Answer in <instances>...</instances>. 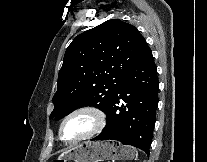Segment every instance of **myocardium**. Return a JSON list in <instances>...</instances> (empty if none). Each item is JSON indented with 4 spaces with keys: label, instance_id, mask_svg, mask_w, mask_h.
<instances>
[{
    "label": "myocardium",
    "instance_id": "myocardium-1",
    "mask_svg": "<svg viewBox=\"0 0 207 162\" xmlns=\"http://www.w3.org/2000/svg\"><path fill=\"white\" fill-rule=\"evenodd\" d=\"M82 113H89L93 116L94 118L93 128L88 133H86L85 135L79 138L72 139V140L64 139L63 129H64L66 122L69 121L74 116L82 114ZM106 122H107V116L101 108L95 105H84V106L78 107L77 109L73 110L72 112H70L68 115L64 117L59 127V137L63 142H66V143L81 142L100 133L105 127Z\"/></svg>",
    "mask_w": 207,
    "mask_h": 162
}]
</instances>
